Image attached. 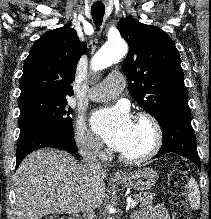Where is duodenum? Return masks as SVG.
I'll use <instances>...</instances> for the list:
<instances>
[{
	"mask_svg": "<svg viewBox=\"0 0 211 219\" xmlns=\"http://www.w3.org/2000/svg\"><path fill=\"white\" fill-rule=\"evenodd\" d=\"M68 219H77L76 217H70V218H68Z\"/></svg>",
	"mask_w": 211,
	"mask_h": 219,
	"instance_id": "duodenum-1",
	"label": "duodenum"
}]
</instances>
